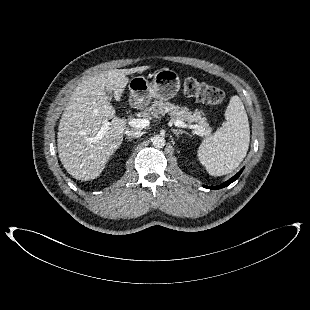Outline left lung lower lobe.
<instances>
[{
  "label": "left lung lower lobe",
  "instance_id": "0a47b994",
  "mask_svg": "<svg viewBox=\"0 0 310 310\" xmlns=\"http://www.w3.org/2000/svg\"><path fill=\"white\" fill-rule=\"evenodd\" d=\"M243 169H241L235 176H233L231 179H229L228 181H226L225 183H223L222 185H218V186H205V188H209V189H221L223 187L228 186L229 184H231L232 182H234L236 179H238V177L240 176V174L242 173Z\"/></svg>",
  "mask_w": 310,
  "mask_h": 310
}]
</instances>
